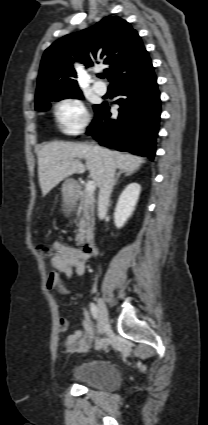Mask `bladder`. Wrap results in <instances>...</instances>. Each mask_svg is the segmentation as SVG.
<instances>
[{"label":"bladder","instance_id":"31cf9c89","mask_svg":"<svg viewBox=\"0 0 208 425\" xmlns=\"http://www.w3.org/2000/svg\"><path fill=\"white\" fill-rule=\"evenodd\" d=\"M78 384L103 391H113L121 384L116 366L104 359H92L76 366L70 373Z\"/></svg>","mask_w":208,"mask_h":425}]
</instances>
